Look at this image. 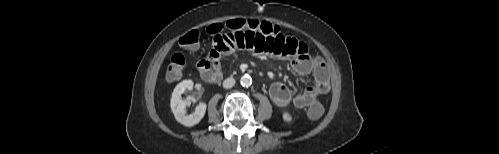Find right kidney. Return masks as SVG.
Returning <instances> with one entry per match:
<instances>
[{
    "instance_id": "right-kidney-1",
    "label": "right kidney",
    "mask_w": 499,
    "mask_h": 154,
    "mask_svg": "<svg viewBox=\"0 0 499 154\" xmlns=\"http://www.w3.org/2000/svg\"><path fill=\"white\" fill-rule=\"evenodd\" d=\"M192 80H183L174 89L171 97V110L175 116V119L182 125L187 127H192L198 124L204 117L206 112V104L199 103L192 114L186 115V107L188 101L181 99V94L185 90H192L193 88Z\"/></svg>"
}]
</instances>
